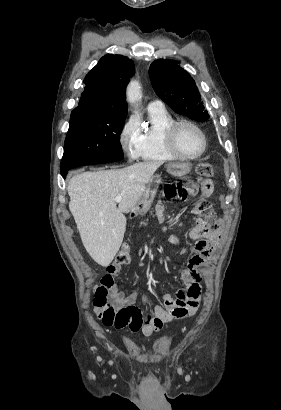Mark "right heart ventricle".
<instances>
[{
  "label": "right heart ventricle",
  "mask_w": 281,
  "mask_h": 410,
  "mask_svg": "<svg viewBox=\"0 0 281 410\" xmlns=\"http://www.w3.org/2000/svg\"><path fill=\"white\" fill-rule=\"evenodd\" d=\"M175 118L165 107L148 108V119L141 127L137 157L144 161L165 162L176 160L167 147L165 131Z\"/></svg>",
  "instance_id": "right-heart-ventricle-1"
}]
</instances>
